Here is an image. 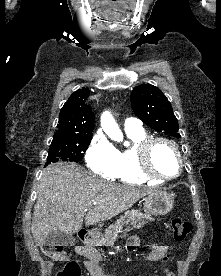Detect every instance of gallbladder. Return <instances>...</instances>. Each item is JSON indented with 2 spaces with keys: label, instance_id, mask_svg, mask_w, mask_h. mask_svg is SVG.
<instances>
[{
  "label": "gallbladder",
  "instance_id": "bac80fb5",
  "mask_svg": "<svg viewBox=\"0 0 221 276\" xmlns=\"http://www.w3.org/2000/svg\"><path fill=\"white\" fill-rule=\"evenodd\" d=\"M45 244L50 247L72 246L75 244V238L70 234L57 230L48 235Z\"/></svg>",
  "mask_w": 221,
  "mask_h": 276
}]
</instances>
